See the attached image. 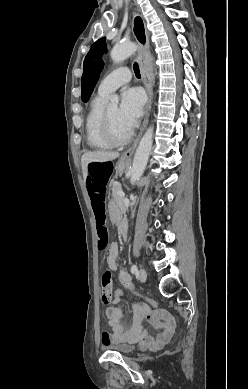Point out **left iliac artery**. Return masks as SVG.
I'll return each mask as SVG.
<instances>
[{
  "label": "left iliac artery",
  "instance_id": "1",
  "mask_svg": "<svg viewBox=\"0 0 248 389\" xmlns=\"http://www.w3.org/2000/svg\"><path fill=\"white\" fill-rule=\"evenodd\" d=\"M138 272V268H137V266L134 264V265H132V267H131V273L132 274H136Z\"/></svg>",
  "mask_w": 248,
  "mask_h": 389
}]
</instances>
